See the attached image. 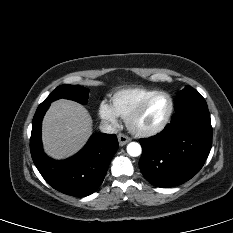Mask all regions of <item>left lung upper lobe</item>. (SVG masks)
Listing matches in <instances>:
<instances>
[{
	"instance_id": "left-lung-upper-lobe-1",
	"label": "left lung upper lobe",
	"mask_w": 233,
	"mask_h": 233,
	"mask_svg": "<svg viewBox=\"0 0 233 233\" xmlns=\"http://www.w3.org/2000/svg\"><path fill=\"white\" fill-rule=\"evenodd\" d=\"M174 104L176 112L192 105H207L201 94L190 86L177 93Z\"/></svg>"
}]
</instances>
